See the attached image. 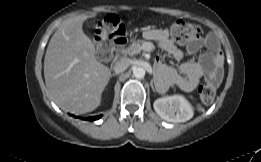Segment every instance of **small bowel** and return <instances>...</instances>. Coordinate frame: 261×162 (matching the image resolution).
<instances>
[{"instance_id": "small-bowel-1", "label": "small bowel", "mask_w": 261, "mask_h": 162, "mask_svg": "<svg viewBox=\"0 0 261 162\" xmlns=\"http://www.w3.org/2000/svg\"><path fill=\"white\" fill-rule=\"evenodd\" d=\"M146 37L156 41L163 50L167 51L175 59H182L183 52L173 43L168 30L150 29L146 32ZM203 47L207 51L200 54L198 61H188L181 65L180 72L182 76L166 66L160 59L156 61L158 71L161 74H167L172 84L178 85L186 92L193 91L203 76L215 82V84H219L223 77L224 56L216 37L208 35L204 39L193 40L188 46V51L197 53Z\"/></svg>"}]
</instances>
